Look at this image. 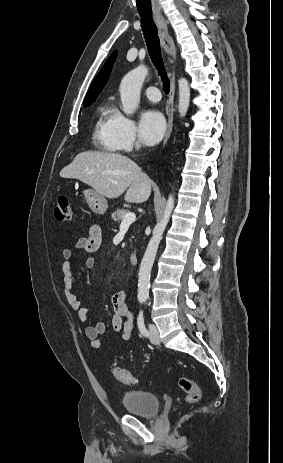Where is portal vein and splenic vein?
<instances>
[{"label":"portal vein and splenic vein","instance_id":"18ae733b","mask_svg":"<svg viewBox=\"0 0 283 463\" xmlns=\"http://www.w3.org/2000/svg\"><path fill=\"white\" fill-rule=\"evenodd\" d=\"M136 219V215L134 212H129L125 215L124 219L122 220L121 222V226L122 225H128V224H131L135 221Z\"/></svg>","mask_w":283,"mask_h":463}]
</instances>
